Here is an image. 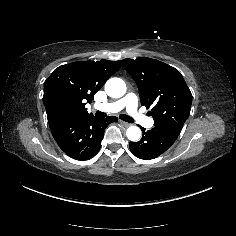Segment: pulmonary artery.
Instances as JSON below:
<instances>
[{
    "label": "pulmonary artery",
    "mask_w": 236,
    "mask_h": 236,
    "mask_svg": "<svg viewBox=\"0 0 236 236\" xmlns=\"http://www.w3.org/2000/svg\"><path fill=\"white\" fill-rule=\"evenodd\" d=\"M137 105L138 99L136 97L126 96L115 102L108 103L106 109L111 112H118L126 108L128 114L132 115L138 124H141L143 127H150L153 124V119L137 110Z\"/></svg>",
    "instance_id": "e3ab8cb5"
}]
</instances>
